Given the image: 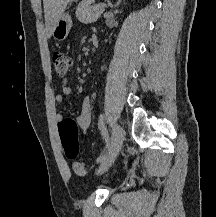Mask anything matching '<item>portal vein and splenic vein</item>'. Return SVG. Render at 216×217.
I'll use <instances>...</instances> for the list:
<instances>
[{
    "instance_id": "obj_1",
    "label": "portal vein and splenic vein",
    "mask_w": 216,
    "mask_h": 217,
    "mask_svg": "<svg viewBox=\"0 0 216 217\" xmlns=\"http://www.w3.org/2000/svg\"><path fill=\"white\" fill-rule=\"evenodd\" d=\"M96 7H98V8H104L105 5H99V6H96Z\"/></svg>"
}]
</instances>
